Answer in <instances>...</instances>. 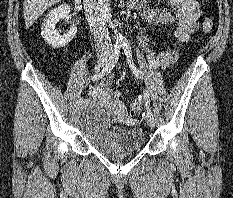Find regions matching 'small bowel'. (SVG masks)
Returning a JSON list of instances; mask_svg holds the SVG:
<instances>
[{
    "mask_svg": "<svg viewBox=\"0 0 233 198\" xmlns=\"http://www.w3.org/2000/svg\"><path fill=\"white\" fill-rule=\"evenodd\" d=\"M170 3L176 9L174 15L165 10L152 8H143L141 15L149 23L174 26L173 36L175 42H186L196 28V23L200 16L199 5L195 0H170ZM140 42L154 64L161 68H166L175 62L177 58L175 49L155 53L151 49L150 41L145 34H140ZM113 80V75L106 76L90 88L89 94L92 99L108 104L116 115L124 116L125 109L118 99L119 93L111 90Z\"/></svg>",
    "mask_w": 233,
    "mask_h": 198,
    "instance_id": "c3829d8e",
    "label": "small bowel"
}]
</instances>
